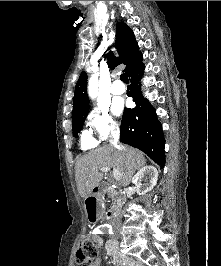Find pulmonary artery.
Returning a JSON list of instances; mask_svg holds the SVG:
<instances>
[{"label": "pulmonary artery", "instance_id": "e3ab8cb5", "mask_svg": "<svg viewBox=\"0 0 221 266\" xmlns=\"http://www.w3.org/2000/svg\"><path fill=\"white\" fill-rule=\"evenodd\" d=\"M110 90L115 95H121L125 92V86L120 81L116 80L112 83Z\"/></svg>", "mask_w": 221, "mask_h": 266}]
</instances>
